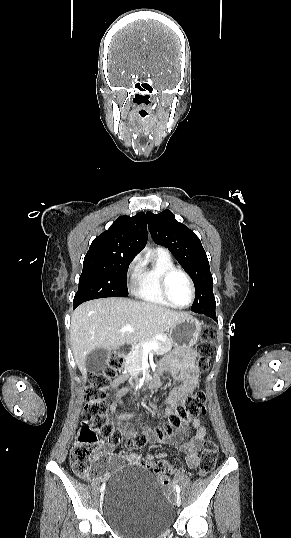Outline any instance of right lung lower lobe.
<instances>
[{
  "instance_id": "right-lung-lower-lobe-1",
  "label": "right lung lower lobe",
  "mask_w": 291,
  "mask_h": 538,
  "mask_svg": "<svg viewBox=\"0 0 291 538\" xmlns=\"http://www.w3.org/2000/svg\"><path fill=\"white\" fill-rule=\"evenodd\" d=\"M77 306L76 305H73V308L75 309Z\"/></svg>"
}]
</instances>
